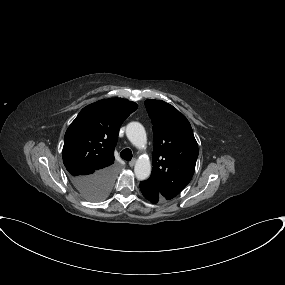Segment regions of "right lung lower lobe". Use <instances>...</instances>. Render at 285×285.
<instances>
[{"label": "right lung lower lobe", "instance_id": "1", "mask_svg": "<svg viewBox=\"0 0 285 285\" xmlns=\"http://www.w3.org/2000/svg\"><path fill=\"white\" fill-rule=\"evenodd\" d=\"M115 176V167L110 166L92 174L72 176L70 180L83 197L94 193H109Z\"/></svg>", "mask_w": 285, "mask_h": 285}]
</instances>
